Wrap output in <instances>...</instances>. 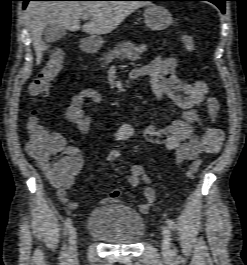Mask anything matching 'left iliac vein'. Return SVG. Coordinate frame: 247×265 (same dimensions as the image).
Segmentation results:
<instances>
[{
    "label": "left iliac vein",
    "mask_w": 247,
    "mask_h": 265,
    "mask_svg": "<svg viewBox=\"0 0 247 265\" xmlns=\"http://www.w3.org/2000/svg\"><path fill=\"white\" fill-rule=\"evenodd\" d=\"M162 254L165 258H169L171 256V232L168 227L164 226L162 228Z\"/></svg>",
    "instance_id": "obj_1"
}]
</instances>
